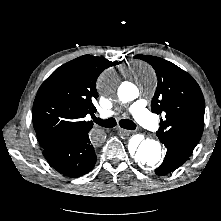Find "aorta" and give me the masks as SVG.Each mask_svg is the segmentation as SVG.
<instances>
[{"instance_id": "obj_1", "label": "aorta", "mask_w": 221, "mask_h": 221, "mask_svg": "<svg viewBox=\"0 0 221 221\" xmlns=\"http://www.w3.org/2000/svg\"><path fill=\"white\" fill-rule=\"evenodd\" d=\"M138 69L146 72V74L153 78V70L148 64L139 63L136 65ZM116 86V77L113 73H107L102 76L100 80V87L103 93L111 95ZM118 97L122 102L132 101L137 97V91H118ZM135 162L142 167H154L161 160V145L159 142L154 140H143L138 148H135L132 152Z\"/></svg>"}]
</instances>
